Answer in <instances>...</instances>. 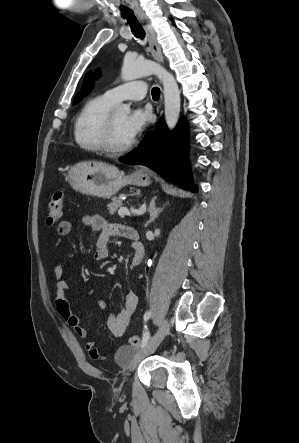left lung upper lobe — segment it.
<instances>
[{"label": "left lung upper lobe", "instance_id": "left-lung-upper-lobe-1", "mask_svg": "<svg viewBox=\"0 0 299 443\" xmlns=\"http://www.w3.org/2000/svg\"><path fill=\"white\" fill-rule=\"evenodd\" d=\"M94 80L92 79V75L89 73L85 80H84V85H83V92H88V90L91 88V86L93 85ZM82 99V94L78 93L75 98H74V103H78L80 100Z\"/></svg>", "mask_w": 299, "mask_h": 443}]
</instances>
